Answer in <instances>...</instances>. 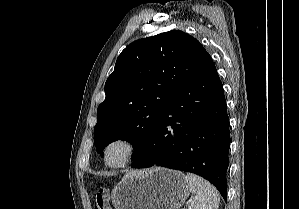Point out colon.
Listing matches in <instances>:
<instances>
[{"mask_svg":"<svg viewBox=\"0 0 299 209\" xmlns=\"http://www.w3.org/2000/svg\"><path fill=\"white\" fill-rule=\"evenodd\" d=\"M94 209H109L105 203L104 189L102 187L96 191Z\"/></svg>","mask_w":299,"mask_h":209,"instance_id":"1","label":"colon"}]
</instances>
